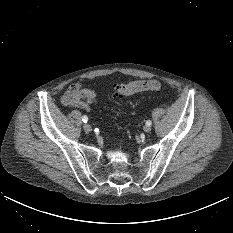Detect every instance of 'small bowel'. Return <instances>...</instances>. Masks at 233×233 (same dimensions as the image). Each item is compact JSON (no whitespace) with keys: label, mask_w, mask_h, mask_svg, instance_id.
Listing matches in <instances>:
<instances>
[{"label":"small bowel","mask_w":233,"mask_h":233,"mask_svg":"<svg viewBox=\"0 0 233 233\" xmlns=\"http://www.w3.org/2000/svg\"><path fill=\"white\" fill-rule=\"evenodd\" d=\"M96 100L95 91L92 88L84 87L80 82L71 84L61 98L63 105L87 111L91 109Z\"/></svg>","instance_id":"c3829d8e"}]
</instances>
